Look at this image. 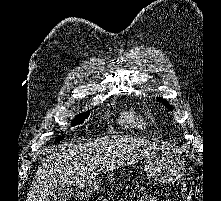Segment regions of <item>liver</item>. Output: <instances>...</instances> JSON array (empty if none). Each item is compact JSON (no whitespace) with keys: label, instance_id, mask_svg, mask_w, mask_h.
<instances>
[{"label":"liver","instance_id":"obj_1","mask_svg":"<svg viewBox=\"0 0 221 201\" xmlns=\"http://www.w3.org/2000/svg\"><path fill=\"white\" fill-rule=\"evenodd\" d=\"M164 149L167 148L128 135L74 140L43 159L27 201H50L59 185H88L97 180L101 171L125 167Z\"/></svg>","mask_w":221,"mask_h":201}]
</instances>
